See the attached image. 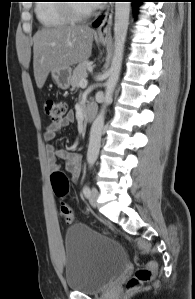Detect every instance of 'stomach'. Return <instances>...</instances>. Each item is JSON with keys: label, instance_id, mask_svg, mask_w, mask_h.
I'll return each instance as SVG.
<instances>
[{"label": "stomach", "instance_id": "stomach-1", "mask_svg": "<svg viewBox=\"0 0 195 299\" xmlns=\"http://www.w3.org/2000/svg\"><path fill=\"white\" fill-rule=\"evenodd\" d=\"M99 41L102 44H106L107 39L100 37ZM51 76H52L53 81L57 84V86L59 88L66 90L71 85L72 69L70 67H68L65 69L57 70V71H51Z\"/></svg>", "mask_w": 195, "mask_h": 299}]
</instances>
